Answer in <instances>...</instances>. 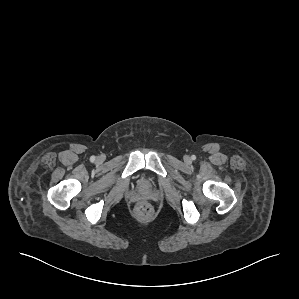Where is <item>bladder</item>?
<instances>
[{
	"label": "bladder",
	"mask_w": 299,
	"mask_h": 299,
	"mask_svg": "<svg viewBox=\"0 0 299 299\" xmlns=\"http://www.w3.org/2000/svg\"><path fill=\"white\" fill-rule=\"evenodd\" d=\"M139 187L142 188V189H149L152 187V181L149 179V178H146V177H142L140 180H139Z\"/></svg>",
	"instance_id": "bladder-1"
}]
</instances>
